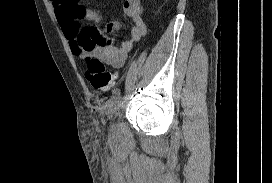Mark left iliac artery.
I'll return each mask as SVG.
<instances>
[{
  "mask_svg": "<svg viewBox=\"0 0 272 183\" xmlns=\"http://www.w3.org/2000/svg\"><path fill=\"white\" fill-rule=\"evenodd\" d=\"M120 96V90L119 89H116L114 92H113V98H118Z\"/></svg>",
  "mask_w": 272,
  "mask_h": 183,
  "instance_id": "44dca946",
  "label": "left iliac artery"
}]
</instances>
